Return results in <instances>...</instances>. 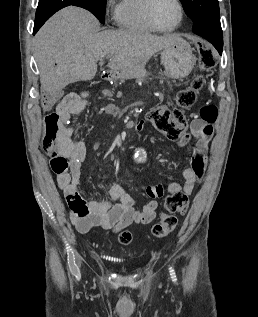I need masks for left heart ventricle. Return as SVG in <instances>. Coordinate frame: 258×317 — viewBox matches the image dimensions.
Segmentation results:
<instances>
[{"label":"left heart ventricle","instance_id":"1","mask_svg":"<svg viewBox=\"0 0 258 317\" xmlns=\"http://www.w3.org/2000/svg\"><path fill=\"white\" fill-rule=\"evenodd\" d=\"M152 18L161 28H170L178 20L179 8L175 0H157L152 7Z\"/></svg>","mask_w":258,"mask_h":317}]
</instances>
